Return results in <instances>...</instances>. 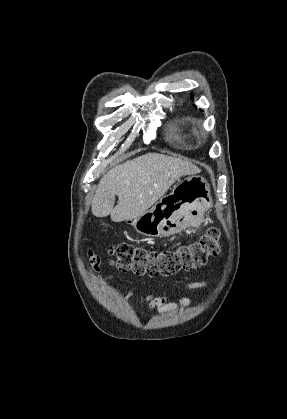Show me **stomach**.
Here are the masks:
<instances>
[{"mask_svg": "<svg viewBox=\"0 0 287 419\" xmlns=\"http://www.w3.org/2000/svg\"><path fill=\"white\" fill-rule=\"evenodd\" d=\"M212 202L210 186L199 175L180 181L145 213L126 219L135 230L148 237H169L203 218Z\"/></svg>", "mask_w": 287, "mask_h": 419, "instance_id": "1", "label": "stomach"}]
</instances>
